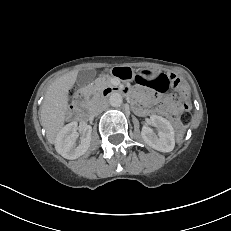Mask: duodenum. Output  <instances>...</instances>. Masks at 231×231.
Wrapping results in <instances>:
<instances>
[{"instance_id": "410a0bca", "label": "duodenum", "mask_w": 231, "mask_h": 231, "mask_svg": "<svg viewBox=\"0 0 231 231\" xmlns=\"http://www.w3.org/2000/svg\"><path fill=\"white\" fill-rule=\"evenodd\" d=\"M115 88H111V87H105L102 91V95L103 96H107L108 94H110L112 91H114ZM88 97V92L84 91L81 93L80 97L78 98V103L80 102V100H85L86 98ZM73 116L76 118V119H79V120H84L85 117H86V114H84L78 107L75 108L73 110Z\"/></svg>"}]
</instances>
